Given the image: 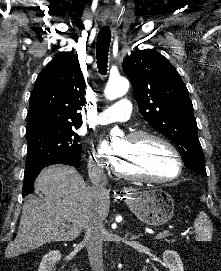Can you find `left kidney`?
<instances>
[{
  "label": "left kidney",
  "instance_id": "5707ae66",
  "mask_svg": "<svg viewBox=\"0 0 221 271\" xmlns=\"http://www.w3.org/2000/svg\"><path fill=\"white\" fill-rule=\"evenodd\" d=\"M162 265L168 267L169 271H184L182 259L177 253V251H172V249H165L163 251V261ZM158 271V269H156Z\"/></svg>",
  "mask_w": 221,
  "mask_h": 271
}]
</instances>
